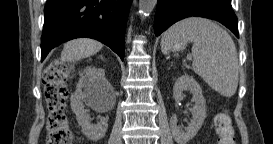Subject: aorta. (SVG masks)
<instances>
[{"label": "aorta", "mask_w": 273, "mask_h": 144, "mask_svg": "<svg viewBox=\"0 0 273 144\" xmlns=\"http://www.w3.org/2000/svg\"><path fill=\"white\" fill-rule=\"evenodd\" d=\"M157 4V0H139V13L142 19L146 18Z\"/></svg>", "instance_id": "1"}]
</instances>
